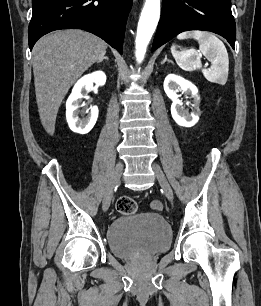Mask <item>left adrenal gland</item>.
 I'll list each match as a JSON object with an SVG mask.
<instances>
[{
    "mask_svg": "<svg viewBox=\"0 0 261 306\" xmlns=\"http://www.w3.org/2000/svg\"><path fill=\"white\" fill-rule=\"evenodd\" d=\"M165 62L173 64V62L167 58V55L165 56V59L161 62V64H164Z\"/></svg>",
    "mask_w": 261,
    "mask_h": 306,
    "instance_id": "obj_1",
    "label": "left adrenal gland"
}]
</instances>
